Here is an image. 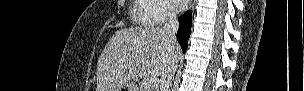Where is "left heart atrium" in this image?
Returning a JSON list of instances; mask_svg holds the SVG:
<instances>
[{"instance_id": "obj_1", "label": "left heart atrium", "mask_w": 304, "mask_h": 91, "mask_svg": "<svg viewBox=\"0 0 304 91\" xmlns=\"http://www.w3.org/2000/svg\"><path fill=\"white\" fill-rule=\"evenodd\" d=\"M170 2L172 3L173 7L179 11L184 10L189 4L188 0H171Z\"/></svg>"}]
</instances>
